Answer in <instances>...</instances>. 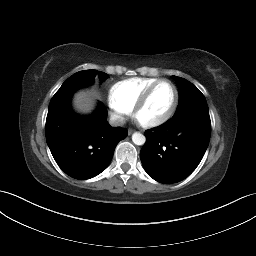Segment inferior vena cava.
Wrapping results in <instances>:
<instances>
[{
	"label": "inferior vena cava",
	"instance_id": "obj_1",
	"mask_svg": "<svg viewBox=\"0 0 256 256\" xmlns=\"http://www.w3.org/2000/svg\"><path fill=\"white\" fill-rule=\"evenodd\" d=\"M109 124L113 127L123 126L125 124V118L119 115H111Z\"/></svg>",
	"mask_w": 256,
	"mask_h": 256
}]
</instances>
